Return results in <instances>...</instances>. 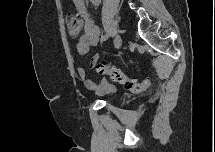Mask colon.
Here are the masks:
<instances>
[{
	"label": "colon",
	"mask_w": 215,
	"mask_h": 152,
	"mask_svg": "<svg viewBox=\"0 0 215 152\" xmlns=\"http://www.w3.org/2000/svg\"><path fill=\"white\" fill-rule=\"evenodd\" d=\"M82 22L77 15L68 14L66 16V27L71 36H77L81 30ZM91 69L100 75L109 76L113 81L123 84L126 90L130 93H141L147 90L150 86L149 80L138 82L135 79L129 78L120 69L110 66L106 62H92Z\"/></svg>",
	"instance_id": "5ec220e1"
}]
</instances>
